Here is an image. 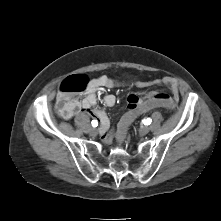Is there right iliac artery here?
<instances>
[{"label": "right iliac artery", "mask_w": 221, "mask_h": 221, "mask_svg": "<svg viewBox=\"0 0 221 221\" xmlns=\"http://www.w3.org/2000/svg\"><path fill=\"white\" fill-rule=\"evenodd\" d=\"M91 124H92L93 127H97L98 126V121L97 120H93L91 122Z\"/></svg>", "instance_id": "right-iliac-artery-1"}]
</instances>
